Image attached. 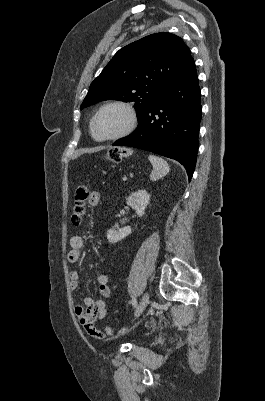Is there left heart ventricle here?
<instances>
[{
    "mask_svg": "<svg viewBox=\"0 0 265 401\" xmlns=\"http://www.w3.org/2000/svg\"><path fill=\"white\" fill-rule=\"evenodd\" d=\"M126 113L119 108H110L102 112L94 124L96 137H110L118 133L124 126Z\"/></svg>",
    "mask_w": 265,
    "mask_h": 401,
    "instance_id": "obj_1",
    "label": "left heart ventricle"
}]
</instances>
